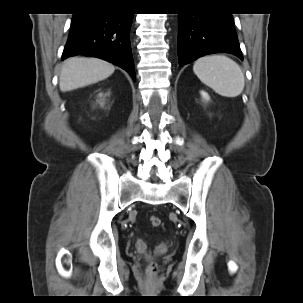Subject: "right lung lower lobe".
<instances>
[{"mask_svg": "<svg viewBox=\"0 0 303 303\" xmlns=\"http://www.w3.org/2000/svg\"><path fill=\"white\" fill-rule=\"evenodd\" d=\"M132 19V13L104 8L74 14L62 60L75 55L101 58L123 68L135 80L129 38Z\"/></svg>", "mask_w": 303, "mask_h": 303, "instance_id": "obj_1", "label": "right lung lower lobe"}]
</instances>
